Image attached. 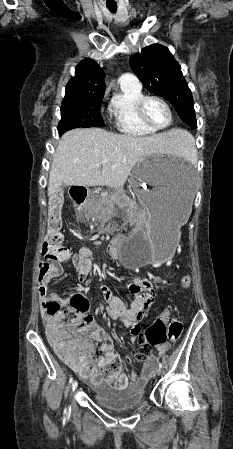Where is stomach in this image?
I'll list each match as a JSON object with an SVG mask.
<instances>
[{
  "label": "stomach",
  "mask_w": 233,
  "mask_h": 449,
  "mask_svg": "<svg viewBox=\"0 0 233 449\" xmlns=\"http://www.w3.org/2000/svg\"><path fill=\"white\" fill-rule=\"evenodd\" d=\"M194 170L183 160H159L154 155L137 163L129 184L146 208L145 220L119 245L120 260L127 268L167 260L175 250L179 230L189 219L195 201ZM101 197L91 209L96 218L105 213Z\"/></svg>",
  "instance_id": "stomach-1"
}]
</instances>
